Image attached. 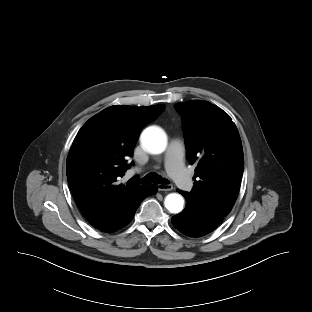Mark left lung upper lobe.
Listing matches in <instances>:
<instances>
[{"label":"left lung upper lobe","mask_w":312,"mask_h":312,"mask_svg":"<svg viewBox=\"0 0 312 312\" xmlns=\"http://www.w3.org/2000/svg\"><path fill=\"white\" fill-rule=\"evenodd\" d=\"M175 108L182 115L188 158L197 165L194 187L183 194L225 216L236 201L244 169L238 130L228 114L210 102L192 100Z\"/></svg>","instance_id":"obj_1"}]
</instances>
